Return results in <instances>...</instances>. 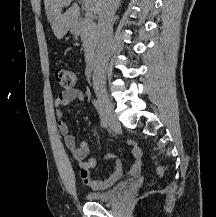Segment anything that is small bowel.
I'll list each match as a JSON object with an SVG mask.
<instances>
[{
  "label": "small bowel",
  "mask_w": 216,
  "mask_h": 217,
  "mask_svg": "<svg viewBox=\"0 0 216 217\" xmlns=\"http://www.w3.org/2000/svg\"><path fill=\"white\" fill-rule=\"evenodd\" d=\"M85 98V92L81 88H73L71 90H64L58 94L55 99L56 115H57V127L59 133L62 135L64 145L66 149L71 153L73 158L78 163L80 168V175L83 182L92 189H106L114 185L119 181L124 173L123 162L120 158L113 154H106L107 159H115L113 167L110 173L103 178L95 179L90 170L96 166L97 160L94 158H88L89 145L87 141H81L79 144L76 142L75 137L70 133L68 124L63 119L62 107L68 106L73 102L82 101ZM129 148L132 152L133 161L129 170V175L136 176L141 168L142 161L140 159V152L135 143H130Z\"/></svg>",
  "instance_id": "1"
}]
</instances>
